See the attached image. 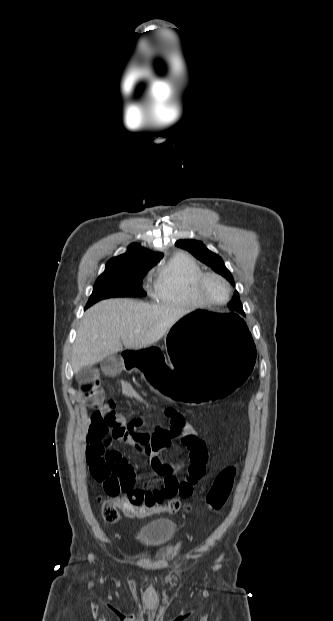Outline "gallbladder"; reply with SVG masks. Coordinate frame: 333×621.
I'll list each match as a JSON object with an SVG mask.
<instances>
[{
	"label": "gallbladder",
	"mask_w": 333,
	"mask_h": 621,
	"mask_svg": "<svg viewBox=\"0 0 333 621\" xmlns=\"http://www.w3.org/2000/svg\"><path fill=\"white\" fill-rule=\"evenodd\" d=\"M92 373L91 367H83L76 372V379L78 382H86L92 377Z\"/></svg>",
	"instance_id": "obj_1"
}]
</instances>
